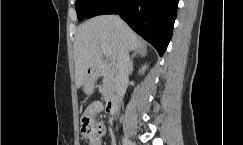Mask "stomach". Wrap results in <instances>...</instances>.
Returning a JSON list of instances; mask_svg holds the SVG:
<instances>
[{"mask_svg": "<svg viewBox=\"0 0 243 145\" xmlns=\"http://www.w3.org/2000/svg\"><path fill=\"white\" fill-rule=\"evenodd\" d=\"M93 87V81L91 79H86L84 82V90L86 92H89L92 90Z\"/></svg>", "mask_w": 243, "mask_h": 145, "instance_id": "0dacf381", "label": "stomach"}]
</instances>
